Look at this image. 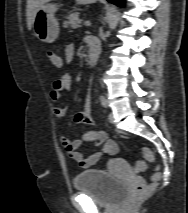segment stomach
<instances>
[{
	"mask_svg": "<svg viewBox=\"0 0 188 213\" xmlns=\"http://www.w3.org/2000/svg\"><path fill=\"white\" fill-rule=\"evenodd\" d=\"M78 3H93L95 0H77ZM60 5L55 3H43L39 6L33 23L35 36L43 42L52 43L59 35V23L55 13Z\"/></svg>",
	"mask_w": 188,
	"mask_h": 213,
	"instance_id": "1",
	"label": "stomach"
}]
</instances>
